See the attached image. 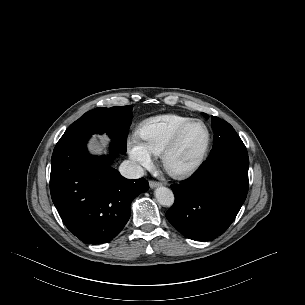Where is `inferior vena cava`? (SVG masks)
<instances>
[{"label":"inferior vena cava","mask_w":305,"mask_h":305,"mask_svg":"<svg viewBox=\"0 0 305 305\" xmlns=\"http://www.w3.org/2000/svg\"><path fill=\"white\" fill-rule=\"evenodd\" d=\"M122 176L128 179H138L144 176V169L133 161H123L119 167Z\"/></svg>","instance_id":"obj_1"}]
</instances>
